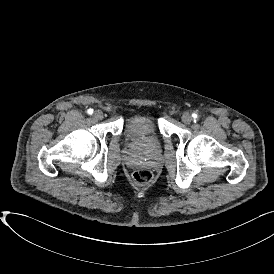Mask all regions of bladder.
I'll use <instances>...</instances> for the list:
<instances>
[{
	"label": "bladder",
	"instance_id": "31cf9c89",
	"mask_svg": "<svg viewBox=\"0 0 274 274\" xmlns=\"http://www.w3.org/2000/svg\"><path fill=\"white\" fill-rule=\"evenodd\" d=\"M156 130L157 122L153 115L146 112L137 113L125 124V137L133 142H141L155 134Z\"/></svg>",
	"mask_w": 274,
	"mask_h": 274
}]
</instances>
